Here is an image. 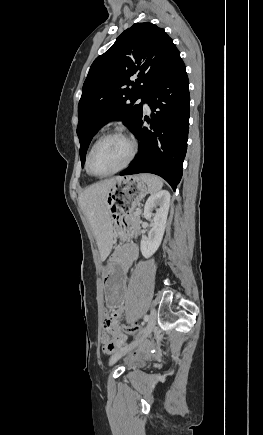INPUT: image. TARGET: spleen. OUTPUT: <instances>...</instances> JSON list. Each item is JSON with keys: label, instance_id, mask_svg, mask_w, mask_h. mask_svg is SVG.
Instances as JSON below:
<instances>
[{"label": "spleen", "instance_id": "obj_1", "mask_svg": "<svg viewBox=\"0 0 263 435\" xmlns=\"http://www.w3.org/2000/svg\"><path fill=\"white\" fill-rule=\"evenodd\" d=\"M140 178L147 184L150 193H156L163 186V180L152 174H141Z\"/></svg>", "mask_w": 263, "mask_h": 435}]
</instances>
